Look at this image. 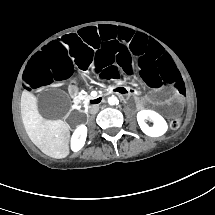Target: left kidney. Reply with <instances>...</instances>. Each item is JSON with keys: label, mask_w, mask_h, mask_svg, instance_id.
Masks as SVG:
<instances>
[{"label": "left kidney", "mask_w": 215, "mask_h": 215, "mask_svg": "<svg viewBox=\"0 0 215 215\" xmlns=\"http://www.w3.org/2000/svg\"><path fill=\"white\" fill-rule=\"evenodd\" d=\"M145 120H150L154 123L149 127ZM137 121L143 133L151 137H159L166 133L168 129L165 119L155 111L141 110L137 113Z\"/></svg>", "instance_id": "left-kidney-1"}]
</instances>
